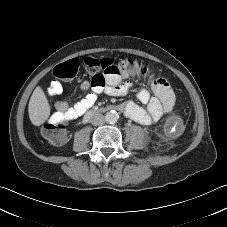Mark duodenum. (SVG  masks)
Masks as SVG:
<instances>
[{
  "instance_id": "obj_1",
  "label": "duodenum",
  "mask_w": 227,
  "mask_h": 227,
  "mask_svg": "<svg viewBox=\"0 0 227 227\" xmlns=\"http://www.w3.org/2000/svg\"><path fill=\"white\" fill-rule=\"evenodd\" d=\"M95 111H90V112H88L85 116H84V118H83V121L84 122H87V121H89L94 115H95Z\"/></svg>"
}]
</instances>
